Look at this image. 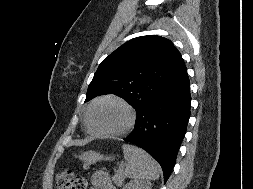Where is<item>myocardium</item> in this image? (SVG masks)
<instances>
[{"label":"myocardium","mask_w":253,"mask_h":189,"mask_svg":"<svg viewBox=\"0 0 253 189\" xmlns=\"http://www.w3.org/2000/svg\"><path fill=\"white\" fill-rule=\"evenodd\" d=\"M105 101L117 102L126 109V111L128 113V121L125 124V126L123 128H121L120 130H117L114 132H100L94 128V126L91 122L92 110L96 105H98L102 102H105ZM85 121H86V125H87L88 130L92 134H94L95 136H98L101 138H116V137H121L132 130V128L134 127L135 122H136V112H135L134 108L123 98L115 96V95H106V96H102V97L96 99L95 101H93L91 103V105L87 109V112L85 115Z\"/></svg>","instance_id":"f54148a6"}]
</instances>
